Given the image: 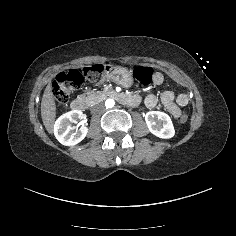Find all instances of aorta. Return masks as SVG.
I'll return each mask as SVG.
<instances>
[{
	"label": "aorta",
	"instance_id": "762f6f07",
	"mask_svg": "<svg viewBox=\"0 0 236 236\" xmlns=\"http://www.w3.org/2000/svg\"><path fill=\"white\" fill-rule=\"evenodd\" d=\"M115 105V101L113 99H107L105 102V106L107 108H113Z\"/></svg>",
	"mask_w": 236,
	"mask_h": 236
}]
</instances>
